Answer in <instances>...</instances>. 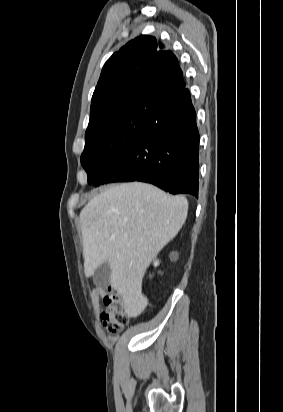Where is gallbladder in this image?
Wrapping results in <instances>:
<instances>
[{"mask_svg":"<svg viewBox=\"0 0 283 412\" xmlns=\"http://www.w3.org/2000/svg\"><path fill=\"white\" fill-rule=\"evenodd\" d=\"M111 268L108 261H105L98 268L95 269L93 274V281L95 285L101 289L106 288L110 283Z\"/></svg>","mask_w":283,"mask_h":412,"instance_id":"bac80fb5","label":"gallbladder"}]
</instances>
